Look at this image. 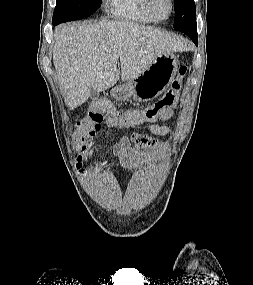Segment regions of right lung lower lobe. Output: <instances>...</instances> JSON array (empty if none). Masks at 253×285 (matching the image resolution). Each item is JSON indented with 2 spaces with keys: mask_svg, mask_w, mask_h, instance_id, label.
<instances>
[{
  "mask_svg": "<svg viewBox=\"0 0 253 285\" xmlns=\"http://www.w3.org/2000/svg\"><path fill=\"white\" fill-rule=\"evenodd\" d=\"M53 24H54V25H57V24H59V22H57V21H53Z\"/></svg>",
  "mask_w": 253,
  "mask_h": 285,
  "instance_id": "right-lung-lower-lobe-1",
  "label": "right lung lower lobe"
}]
</instances>
